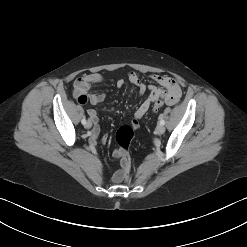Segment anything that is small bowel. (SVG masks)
<instances>
[{
    "instance_id": "small-bowel-1",
    "label": "small bowel",
    "mask_w": 247,
    "mask_h": 247,
    "mask_svg": "<svg viewBox=\"0 0 247 247\" xmlns=\"http://www.w3.org/2000/svg\"><path fill=\"white\" fill-rule=\"evenodd\" d=\"M153 81L157 83V85H147L145 84L139 76L131 72L128 75V81L137 88L140 95L145 94L147 91L149 92L146 99L138 106L135 111V118L141 119L145 116L150 106L158 99L162 98L166 102L167 105H174L179 102L181 98V88L175 79L165 76L153 74L151 76ZM103 80V76L99 73H90L85 74L79 78H77L74 82L73 86V95L77 99L80 104H85L90 102L93 105H97L103 102L106 98L104 93H89V89L93 84L99 83ZM125 81L123 79H119L116 82V86L118 88L123 87ZM88 115L92 122L95 124V129L92 132V136L96 137L99 131L98 128V116L97 112L94 109L88 110ZM136 121V120H135ZM109 140L107 134L101 137V141L106 143ZM114 155L118 157V154L115 152ZM121 179V172L118 171L114 176V181L118 182Z\"/></svg>"
}]
</instances>
